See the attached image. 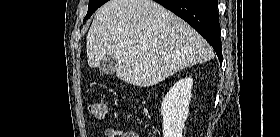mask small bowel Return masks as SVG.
<instances>
[{"label": "small bowel", "instance_id": "c3829d8e", "mask_svg": "<svg viewBox=\"0 0 280 137\" xmlns=\"http://www.w3.org/2000/svg\"><path fill=\"white\" fill-rule=\"evenodd\" d=\"M105 137H137V134L131 130L119 132L112 128H108L105 131Z\"/></svg>", "mask_w": 280, "mask_h": 137}]
</instances>
